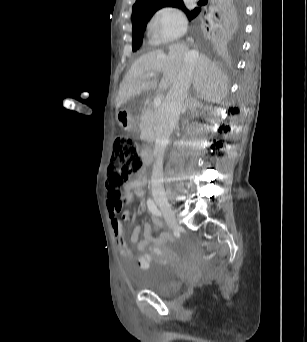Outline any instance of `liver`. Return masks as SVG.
<instances>
[{"instance_id":"obj_1","label":"liver","mask_w":307,"mask_h":342,"mask_svg":"<svg viewBox=\"0 0 307 342\" xmlns=\"http://www.w3.org/2000/svg\"><path fill=\"white\" fill-rule=\"evenodd\" d=\"M161 49L143 54L132 64L120 84L116 110L132 96H139L145 90L157 86L159 90H166L176 82L184 58L190 50L185 44H162ZM147 74H163V78L160 84H157V80H145ZM192 82L199 98L206 102L220 104L229 92L227 76L204 54H197L195 58Z\"/></svg>"}]
</instances>
